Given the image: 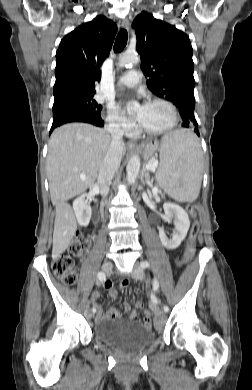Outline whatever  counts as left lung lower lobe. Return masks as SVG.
Segmentation results:
<instances>
[{
    "label": "left lung lower lobe",
    "mask_w": 252,
    "mask_h": 390,
    "mask_svg": "<svg viewBox=\"0 0 252 390\" xmlns=\"http://www.w3.org/2000/svg\"><path fill=\"white\" fill-rule=\"evenodd\" d=\"M181 117L183 119L182 126L186 127V128L193 129L196 132V134L199 135V131L196 128L197 122H196L195 116H193L191 114H183Z\"/></svg>",
    "instance_id": "obj_1"
}]
</instances>
